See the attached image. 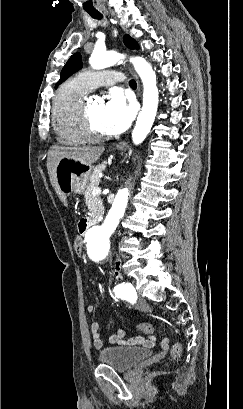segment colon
<instances>
[{
	"label": "colon",
	"instance_id": "obj_1",
	"mask_svg": "<svg viewBox=\"0 0 243 409\" xmlns=\"http://www.w3.org/2000/svg\"><path fill=\"white\" fill-rule=\"evenodd\" d=\"M73 248L76 254L80 255L82 251V239L80 236H76L73 241ZM138 330L143 333H152L153 328L151 325L143 323L138 325ZM163 346L168 347V339L163 340ZM182 353V347L180 343H175L171 349V359L173 361L178 360Z\"/></svg>",
	"mask_w": 243,
	"mask_h": 409
}]
</instances>
